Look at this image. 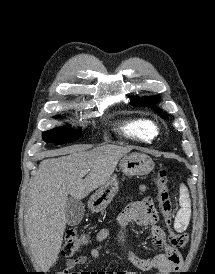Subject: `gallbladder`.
Instances as JSON below:
<instances>
[{
    "label": "gallbladder",
    "instance_id": "1",
    "mask_svg": "<svg viewBox=\"0 0 215 274\" xmlns=\"http://www.w3.org/2000/svg\"><path fill=\"white\" fill-rule=\"evenodd\" d=\"M85 206L82 201L74 197L67 199L65 206V215L67 223L70 226L78 225L84 216Z\"/></svg>",
    "mask_w": 215,
    "mask_h": 274
}]
</instances>
